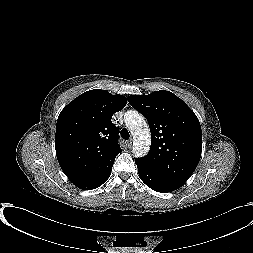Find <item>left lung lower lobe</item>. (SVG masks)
Segmentation results:
<instances>
[{"instance_id":"obj_1","label":"left lung lower lobe","mask_w":253,"mask_h":253,"mask_svg":"<svg viewBox=\"0 0 253 253\" xmlns=\"http://www.w3.org/2000/svg\"><path fill=\"white\" fill-rule=\"evenodd\" d=\"M135 163L138 167V173L140 175L141 180L151 189L161 192L167 193L174 191L182 186V184L170 180L152 170L147 168L139 159H135Z\"/></svg>"}]
</instances>
